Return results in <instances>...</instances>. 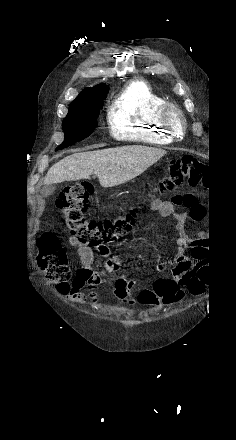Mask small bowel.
Segmentation results:
<instances>
[{
	"mask_svg": "<svg viewBox=\"0 0 236 440\" xmlns=\"http://www.w3.org/2000/svg\"><path fill=\"white\" fill-rule=\"evenodd\" d=\"M177 207H182L187 211H177ZM150 209L161 217H173L176 221L177 231L175 253L161 261L155 268L159 273H170L172 281L178 288L187 287L193 279H202L201 264L196 250V235L189 234L186 230V221L191 218L199 221L204 217V208L197 202L194 194L176 195L170 201L154 199L150 204ZM66 244L77 249L82 267L76 272L73 280L69 298L80 304L90 302L93 305L98 303V297L94 289L101 283L103 278H114V290L117 297L126 304L135 303L136 281L127 278L121 272L120 260L111 255L106 246H99L95 251L105 259L104 266L100 269H93L94 250L88 245L82 244L73 237L66 240ZM188 249L193 250L189 257L186 254ZM65 254V252H64ZM88 288L89 293L82 292L83 288ZM147 290V289H146ZM145 291V290H143ZM140 292L138 300L145 305L155 306L161 303V299L154 295V299L149 302L141 301Z\"/></svg>",
	"mask_w": 236,
	"mask_h": 440,
	"instance_id": "c3829d8e",
	"label": "small bowel"
}]
</instances>
